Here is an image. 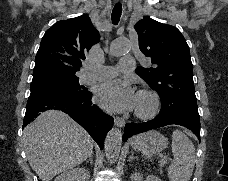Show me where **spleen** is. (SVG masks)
I'll use <instances>...</instances> for the list:
<instances>
[{
    "instance_id": "obj_1",
    "label": "spleen",
    "mask_w": 228,
    "mask_h": 181,
    "mask_svg": "<svg viewBox=\"0 0 228 181\" xmlns=\"http://www.w3.org/2000/svg\"><path fill=\"white\" fill-rule=\"evenodd\" d=\"M171 149L173 161L167 169L169 181H190L195 165V149L192 141L182 131H173ZM141 151L143 155H147L144 149Z\"/></svg>"
}]
</instances>
